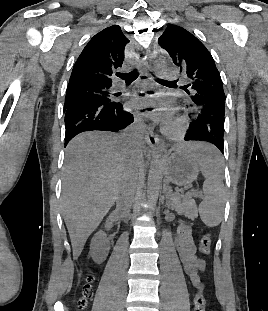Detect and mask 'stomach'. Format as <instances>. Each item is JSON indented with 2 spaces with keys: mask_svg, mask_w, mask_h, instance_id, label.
Instances as JSON below:
<instances>
[{
  "mask_svg": "<svg viewBox=\"0 0 268 311\" xmlns=\"http://www.w3.org/2000/svg\"><path fill=\"white\" fill-rule=\"evenodd\" d=\"M160 164L166 179L177 186H186L197 179L199 168L191 147H174L162 156Z\"/></svg>",
  "mask_w": 268,
  "mask_h": 311,
  "instance_id": "obj_1",
  "label": "stomach"
}]
</instances>
